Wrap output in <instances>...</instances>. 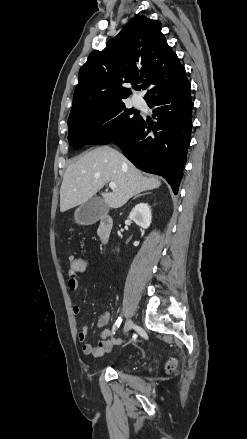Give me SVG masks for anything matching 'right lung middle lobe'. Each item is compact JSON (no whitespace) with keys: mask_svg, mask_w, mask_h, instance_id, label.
Here are the masks:
<instances>
[{"mask_svg":"<svg viewBox=\"0 0 247 439\" xmlns=\"http://www.w3.org/2000/svg\"><path fill=\"white\" fill-rule=\"evenodd\" d=\"M140 118L123 101L96 107L69 117L68 140L75 150L85 144H108L121 138Z\"/></svg>","mask_w":247,"mask_h":439,"instance_id":"1","label":"right lung middle lobe"}]
</instances>
